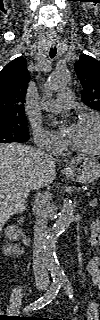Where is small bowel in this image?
I'll return each instance as SVG.
<instances>
[{"label":"small bowel","instance_id":"c3829d8e","mask_svg":"<svg viewBox=\"0 0 100 320\" xmlns=\"http://www.w3.org/2000/svg\"><path fill=\"white\" fill-rule=\"evenodd\" d=\"M96 227L98 228L97 224H94L93 231ZM87 271L90 274L93 283L99 286L100 285V260L99 259L91 260L87 265Z\"/></svg>","mask_w":100,"mask_h":320}]
</instances>
